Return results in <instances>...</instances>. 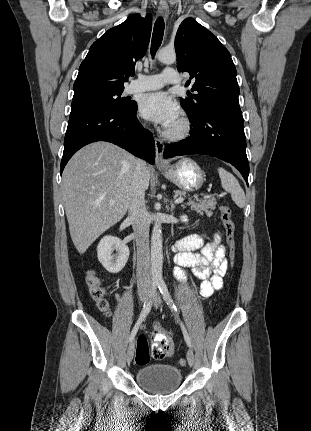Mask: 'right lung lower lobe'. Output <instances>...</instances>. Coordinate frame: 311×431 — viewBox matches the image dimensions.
I'll return each mask as SVG.
<instances>
[{
	"instance_id": "1",
	"label": "right lung lower lobe",
	"mask_w": 311,
	"mask_h": 431,
	"mask_svg": "<svg viewBox=\"0 0 311 431\" xmlns=\"http://www.w3.org/2000/svg\"><path fill=\"white\" fill-rule=\"evenodd\" d=\"M136 112L137 107L131 112L103 107H85L71 111L64 139L60 173L62 174L75 152L95 141L112 142L153 164L154 139L139 123Z\"/></svg>"
}]
</instances>
